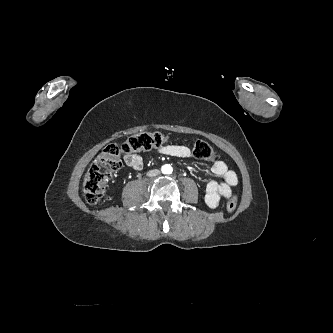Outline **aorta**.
Segmentation results:
<instances>
[{"label":"aorta","instance_id":"1","mask_svg":"<svg viewBox=\"0 0 333 333\" xmlns=\"http://www.w3.org/2000/svg\"><path fill=\"white\" fill-rule=\"evenodd\" d=\"M172 171H173V169H172V167H171L170 165H164V166L162 167V172H163L164 174H171Z\"/></svg>","mask_w":333,"mask_h":333}]
</instances>
